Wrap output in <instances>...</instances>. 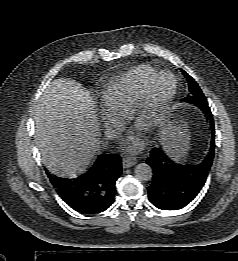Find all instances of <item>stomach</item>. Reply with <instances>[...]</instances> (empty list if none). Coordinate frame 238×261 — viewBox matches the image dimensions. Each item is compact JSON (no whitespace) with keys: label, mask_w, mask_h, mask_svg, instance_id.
<instances>
[{"label":"stomach","mask_w":238,"mask_h":261,"mask_svg":"<svg viewBox=\"0 0 238 261\" xmlns=\"http://www.w3.org/2000/svg\"><path fill=\"white\" fill-rule=\"evenodd\" d=\"M166 150L172 156L178 157L182 154L186 144V129L178 116L165 126Z\"/></svg>","instance_id":"obj_1"}]
</instances>
